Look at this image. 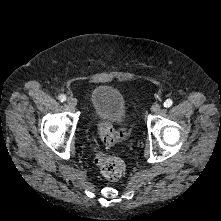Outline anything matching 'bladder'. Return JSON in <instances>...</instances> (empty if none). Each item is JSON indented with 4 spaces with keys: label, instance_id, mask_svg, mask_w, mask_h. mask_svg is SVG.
Here are the masks:
<instances>
[{
    "label": "bladder",
    "instance_id": "obj_1",
    "mask_svg": "<svg viewBox=\"0 0 221 221\" xmlns=\"http://www.w3.org/2000/svg\"><path fill=\"white\" fill-rule=\"evenodd\" d=\"M90 105L93 115L101 120L120 123L125 118V99L122 93L112 86L95 87L90 95Z\"/></svg>",
    "mask_w": 221,
    "mask_h": 221
}]
</instances>
